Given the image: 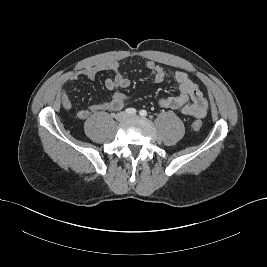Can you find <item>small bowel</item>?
Masks as SVG:
<instances>
[{"instance_id":"c3829d8e","label":"small bowel","mask_w":267,"mask_h":267,"mask_svg":"<svg viewBox=\"0 0 267 267\" xmlns=\"http://www.w3.org/2000/svg\"><path fill=\"white\" fill-rule=\"evenodd\" d=\"M145 68L150 73L154 83L158 84L164 81L169 76L178 85L180 93L177 96L164 97L159 99V105L163 108L178 111L184 115L203 118L208 111V102L189 76L179 70L166 71L160 65L154 62H147ZM101 71H109L113 74L108 77L104 84L108 90L116 88H127L130 85V80L124 75V70L119 62L110 61L97 66H89L82 69L79 73L70 74L66 81L74 82L80 75L89 80H94L97 74ZM127 101V96L121 92H114L111 98L100 104L90 105L88 108L80 109L77 112V117L81 120H86L91 114L103 111H114L121 109ZM60 104L65 110L72 107L70 97L66 90H62L60 94Z\"/></svg>"}]
</instances>
